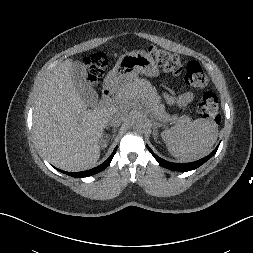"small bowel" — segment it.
Returning a JSON list of instances; mask_svg holds the SVG:
<instances>
[{
    "mask_svg": "<svg viewBox=\"0 0 253 253\" xmlns=\"http://www.w3.org/2000/svg\"><path fill=\"white\" fill-rule=\"evenodd\" d=\"M194 94L192 92H185L180 94L178 97H168V101L171 104H176L178 106H187L194 100Z\"/></svg>",
    "mask_w": 253,
    "mask_h": 253,
    "instance_id": "obj_1",
    "label": "small bowel"
}]
</instances>
